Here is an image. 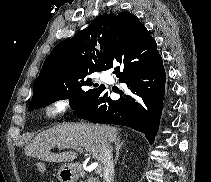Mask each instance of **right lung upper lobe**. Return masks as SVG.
Returning <instances> with one entry per match:
<instances>
[{
    "label": "right lung upper lobe",
    "instance_id": "cb5924a9",
    "mask_svg": "<svg viewBox=\"0 0 211 182\" xmlns=\"http://www.w3.org/2000/svg\"><path fill=\"white\" fill-rule=\"evenodd\" d=\"M146 34L148 30L129 12L98 16L87 29L55 46L34 82L33 91L104 70L120 47Z\"/></svg>",
    "mask_w": 211,
    "mask_h": 182
}]
</instances>
